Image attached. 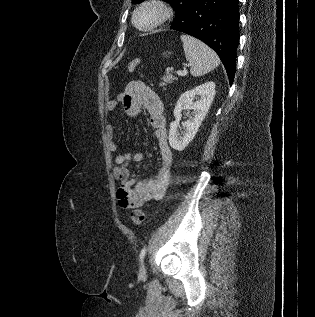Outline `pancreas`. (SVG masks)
Instances as JSON below:
<instances>
[{
	"instance_id": "pancreas-1",
	"label": "pancreas",
	"mask_w": 315,
	"mask_h": 317,
	"mask_svg": "<svg viewBox=\"0 0 315 317\" xmlns=\"http://www.w3.org/2000/svg\"><path fill=\"white\" fill-rule=\"evenodd\" d=\"M174 80H177V78L171 75L169 71H167V73L161 78L160 85L166 86L167 84L172 83Z\"/></svg>"
}]
</instances>
